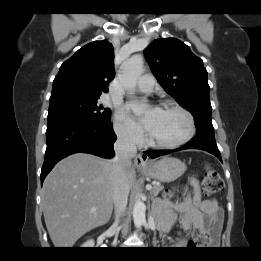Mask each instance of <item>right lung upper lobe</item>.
I'll use <instances>...</instances> for the list:
<instances>
[{"label": "right lung upper lobe", "mask_w": 261, "mask_h": 261, "mask_svg": "<svg viewBox=\"0 0 261 261\" xmlns=\"http://www.w3.org/2000/svg\"><path fill=\"white\" fill-rule=\"evenodd\" d=\"M114 50L107 40L94 41L65 61L53 81L52 93L77 92L100 96L114 78Z\"/></svg>", "instance_id": "obj_1"}]
</instances>
